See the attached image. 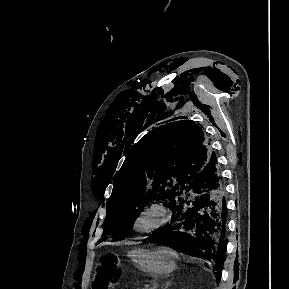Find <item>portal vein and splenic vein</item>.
<instances>
[{
	"label": "portal vein and splenic vein",
	"instance_id": "portal-vein-and-splenic-vein-1",
	"mask_svg": "<svg viewBox=\"0 0 289 289\" xmlns=\"http://www.w3.org/2000/svg\"><path fill=\"white\" fill-rule=\"evenodd\" d=\"M157 286H158L157 284L154 285L155 289L157 288Z\"/></svg>",
	"mask_w": 289,
	"mask_h": 289
}]
</instances>
